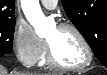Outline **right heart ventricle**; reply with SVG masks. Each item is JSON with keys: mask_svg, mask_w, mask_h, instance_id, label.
Here are the masks:
<instances>
[{"mask_svg": "<svg viewBox=\"0 0 107 75\" xmlns=\"http://www.w3.org/2000/svg\"><path fill=\"white\" fill-rule=\"evenodd\" d=\"M41 64H45L46 63V55L44 53L42 59L40 60Z\"/></svg>", "mask_w": 107, "mask_h": 75, "instance_id": "right-heart-ventricle-1", "label": "right heart ventricle"}]
</instances>
